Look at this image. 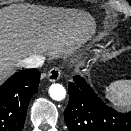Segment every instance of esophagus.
Segmentation results:
<instances>
[{
	"label": "esophagus",
	"mask_w": 131,
	"mask_h": 131,
	"mask_svg": "<svg viewBox=\"0 0 131 131\" xmlns=\"http://www.w3.org/2000/svg\"><path fill=\"white\" fill-rule=\"evenodd\" d=\"M60 75H61V70H60V68H58V67H53V68L49 71V73H48V80H49L50 82H55V81L59 80Z\"/></svg>",
	"instance_id": "34e87169"
}]
</instances>
